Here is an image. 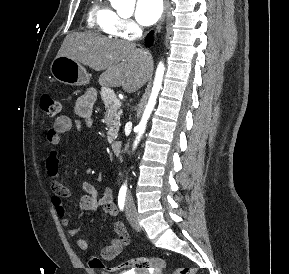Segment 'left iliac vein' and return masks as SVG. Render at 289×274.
I'll return each mask as SVG.
<instances>
[{
	"label": "left iliac vein",
	"mask_w": 289,
	"mask_h": 274,
	"mask_svg": "<svg viewBox=\"0 0 289 274\" xmlns=\"http://www.w3.org/2000/svg\"><path fill=\"white\" fill-rule=\"evenodd\" d=\"M126 216H127L129 223L136 231L142 230V227L140 226L139 221L137 219L136 211L134 207L132 206L129 199L126 202Z\"/></svg>",
	"instance_id": "obj_1"
}]
</instances>
